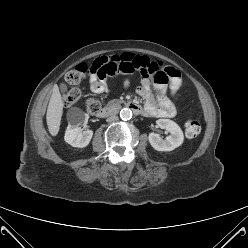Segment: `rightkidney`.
<instances>
[{
  "label": "right kidney",
  "instance_id": "ca27d5eb",
  "mask_svg": "<svg viewBox=\"0 0 248 248\" xmlns=\"http://www.w3.org/2000/svg\"><path fill=\"white\" fill-rule=\"evenodd\" d=\"M89 116L78 108L70 109L68 113V127L65 132L64 140L73 147H86L93 136L92 130L81 132L80 125L88 121Z\"/></svg>",
  "mask_w": 248,
  "mask_h": 248
}]
</instances>
